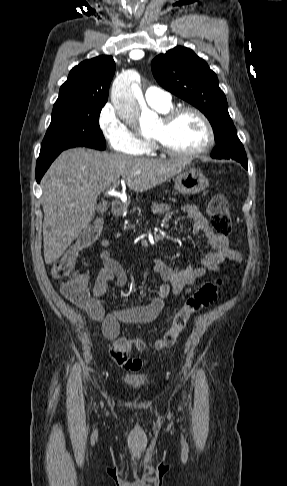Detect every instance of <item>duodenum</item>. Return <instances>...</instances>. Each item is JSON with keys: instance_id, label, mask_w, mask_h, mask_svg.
<instances>
[{"instance_id": "obj_1", "label": "duodenum", "mask_w": 287, "mask_h": 486, "mask_svg": "<svg viewBox=\"0 0 287 486\" xmlns=\"http://www.w3.org/2000/svg\"><path fill=\"white\" fill-rule=\"evenodd\" d=\"M124 209H125L124 203L119 200H116L112 203L111 213L113 216H119L123 213Z\"/></svg>"}]
</instances>
